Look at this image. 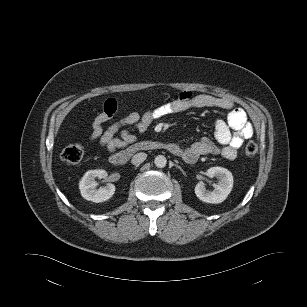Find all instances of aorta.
<instances>
[{"mask_svg":"<svg viewBox=\"0 0 307 307\" xmlns=\"http://www.w3.org/2000/svg\"><path fill=\"white\" fill-rule=\"evenodd\" d=\"M155 166L158 168H164L167 164V159L163 155H158L154 159Z\"/></svg>","mask_w":307,"mask_h":307,"instance_id":"1","label":"aorta"}]
</instances>
